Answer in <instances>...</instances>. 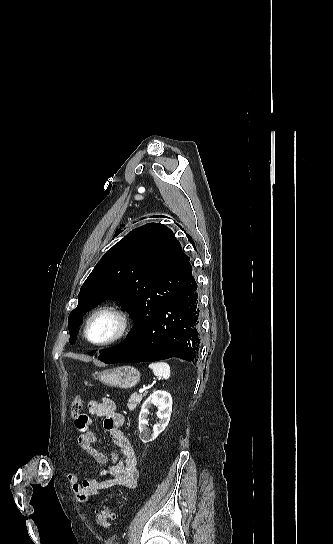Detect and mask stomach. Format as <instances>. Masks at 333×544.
Wrapping results in <instances>:
<instances>
[{
    "label": "stomach",
    "instance_id": "obj_1",
    "mask_svg": "<svg viewBox=\"0 0 333 544\" xmlns=\"http://www.w3.org/2000/svg\"><path fill=\"white\" fill-rule=\"evenodd\" d=\"M95 375L103 384L123 389L132 388L140 381V372L132 366L108 369Z\"/></svg>",
    "mask_w": 333,
    "mask_h": 544
}]
</instances>
